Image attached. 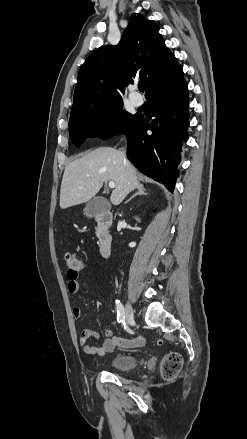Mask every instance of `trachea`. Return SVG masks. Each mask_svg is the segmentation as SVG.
<instances>
[{
  "label": "trachea",
  "mask_w": 247,
  "mask_h": 439,
  "mask_svg": "<svg viewBox=\"0 0 247 439\" xmlns=\"http://www.w3.org/2000/svg\"><path fill=\"white\" fill-rule=\"evenodd\" d=\"M138 89H139L141 92H144V90H145V86H144V85H139V86H138Z\"/></svg>",
  "instance_id": "obj_1"
}]
</instances>
